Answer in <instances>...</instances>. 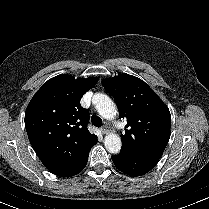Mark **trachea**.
Listing matches in <instances>:
<instances>
[{
  "label": "trachea",
  "mask_w": 209,
  "mask_h": 209,
  "mask_svg": "<svg viewBox=\"0 0 209 209\" xmlns=\"http://www.w3.org/2000/svg\"><path fill=\"white\" fill-rule=\"evenodd\" d=\"M91 122L95 127H101L102 119L96 115L92 116Z\"/></svg>",
  "instance_id": "3493384b"
}]
</instances>
